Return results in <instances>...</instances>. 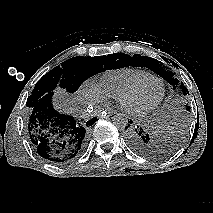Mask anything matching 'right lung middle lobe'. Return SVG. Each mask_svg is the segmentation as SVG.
<instances>
[{"mask_svg": "<svg viewBox=\"0 0 213 213\" xmlns=\"http://www.w3.org/2000/svg\"><path fill=\"white\" fill-rule=\"evenodd\" d=\"M123 53L110 54L107 56L96 57H74L66 60L57 66L46 75H44L38 83H36L34 90L27 100L28 111L33 108L36 103L47 93L51 92L57 86L65 89L69 93H74L84 82L91 76H94L106 69H114L110 67L112 61L123 56Z\"/></svg>", "mask_w": 213, "mask_h": 213, "instance_id": "dd1d6c3e", "label": "right lung middle lobe"}]
</instances>
